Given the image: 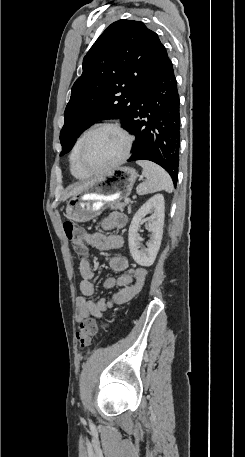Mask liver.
Returning <instances> with one entry per match:
<instances>
[{
    "mask_svg": "<svg viewBox=\"0 0 245 457\" xmlns=\"http://www.w3.org/2000/svg\"><path fill=\"white\" fill-rule=\"evenodd\" d=\"M92 182H94V180H87V182H80V184H78V186H75V188H72V190H70V192H68V194H66L65 198H69V196H73V194H76V192H81V190H83V188H86V186H88V184H92Z\"/></svg>",
    "mask_w": 245,
    "mask_h": 457,
    "instance_id": "liver-1",
    "label": "liver"
}]
</instances>
